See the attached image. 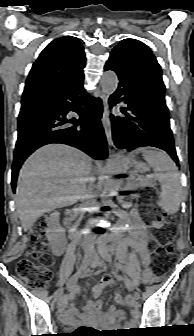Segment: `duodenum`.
I'll list each match as a JSON object with an SVG mask.
<instances>
[{
	"label": "duodenum",
	"mask_w": 194,
	"mask_h": 336,
	"mask_svg": "<svg viewBox=\"0 0 194 336\" xmlns=\"http://www.w3.org/2000/svg\"><path fill=\"white\" fill-rule=\"evenodd\" d=\"M65 225L68 227V228H72L74 226V221L72 219L71 216H68L66 219H65ZM101 258L104 259V255H101ZM96 259V258H94ZM93 259V261H94Z\"/></svg>",
	"instance_id": "1"
}]
</instances>
